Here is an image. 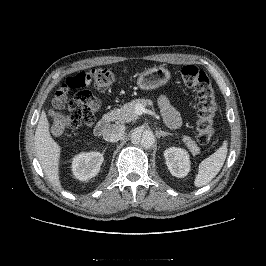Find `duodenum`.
<instances>
[{"instance_id": "duodenum-1", "label": "duodenum", "mask_w": 266, "mask_h": 266, "mask_svg": "<svg viewBox=\"0 0 266 266\" xmlns=\"http://www.w3.org/2000/svg\"><path fill=\"white\" fill-rule=\"evenodd\" d=\"M109 119H104L98 122L94 127L95 136H102L106 132L107 126L109 124Z\"/></svg>"}]
</instances>
